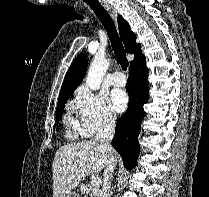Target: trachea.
Returning <instances> with one entry per match:
<instances>
[{
	"instance_id": "3493384b",
	"label": "trachea",
	"mask_w": 209,
	"mask_h": 197,
	"mask_svg": "<svg viewBox=\"0 0 209 197\" xmlns=\"http://www.w3.org/2000/svg\"><path fill=\"white\" fill-rule=\"evenodd\" d=\"M84 1L94 11V13L98 17L102 25L104 26L107 32V35L110 39L115 57L120 63L122 69L125 71L129 65V62L126 58V52H125L124 46L117 33V30H116V27L112 18L97 0H84Z\"/></svg>"
}]
</instances>
